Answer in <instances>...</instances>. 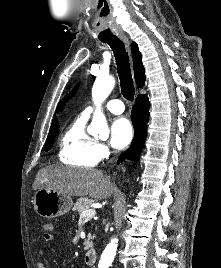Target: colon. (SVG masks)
Segmentation results:
<instances>
[{
    "label": "colon",
    "instance_id": "obj_1",
    "mask_svg": "<svg viewBox=\"0 0 221 268\" xmlns=\"http://www.w3.org/2000/svg\"><path fill=\"white\" fill-rule=\"evenodd\" d=\"M41 226L45 232H49L53 228L52 224L48 221H42Z\"/></svg>",
    "mask_w": 221,
    "mask_h": 268
}]
</instances>
